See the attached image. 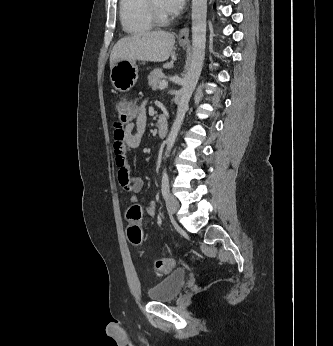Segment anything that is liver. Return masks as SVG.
<instances>
[{
    "instance_id": "obj_1",
    "label": "liver",
    "mask_w": 333,
    "mask_h": 346,
    "mask_svg": "<svg viewBox=\"0 0 333 346\" xmlns=\"http://www.w3.org/2000/svg\"><path fill=\"white\" fill-rule=\"evenodd\" d=\"M175 44V36L165 31L142 32L120 39L110 55V68L122 60L164 62Z\"/></svg>"
}]
</instances>
